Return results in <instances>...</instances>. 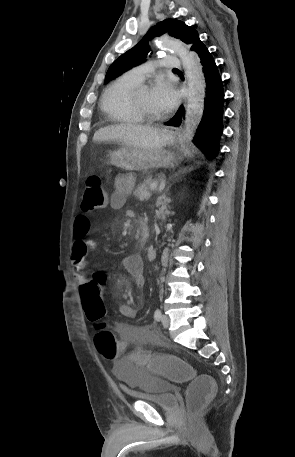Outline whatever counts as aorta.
<instances>
[{"instance_id":"obj_1","label":"aorta","mask_w":295,"mask_h":457,"mask_svg":"<svg viewBox=\"0 0 295 457\" xmlns=\"http://www.w3.org/2000/svg\"><path fill=\"white\" fill-rule=\"evenodd\" d=\"M159 46L173 50L180 58L188 83V103L185 112V136H191L199 125L204 111L206 83L198 56L190 52L180 40L167 35L159 38Z\"/></svg>"}]
</instances>
